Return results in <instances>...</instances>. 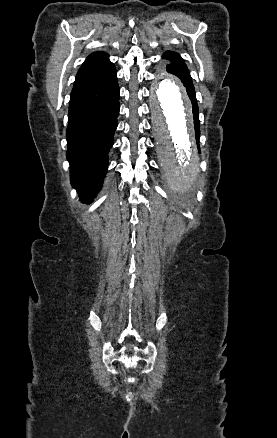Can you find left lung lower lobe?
I'll return each mask as SVG.
<instances>
[{
    "label": "left lung lower lobe",
    "instance_id": "0a47b994",
    "mask_svg": "<svg viewBox=\"0 0 277 438\" xmlns=\"http://www.w3.org/2000/svg\"><path fill=\"white\" fill-rule=\"evenodd\" d=\"M194 123H195V129H196V138L198 140V138H199L198 114L194 116Z\"/></svg>",
    "mask_w": 277,
    "mask_h": 438
}]
</instances>
